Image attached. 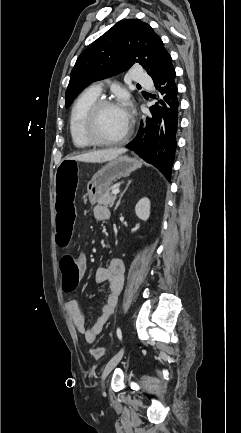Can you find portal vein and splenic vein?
I'll use <instances>...</instances> for the list:
<instances>
[{
    "label": "portal vein and splenic vein",
    "mask_w": 241,
    "mask_h": 433,
    "mask_svg": "<svg viewBox=\"0 0 241 433\" xmlns=\"http://www.w3.org/2000/svg\"><path fill=\"white\" fill-rule=\"evenodd\" d=\"M120 192V190L117 188V189H114L113 191H112V194L113 195H116V194H118Z\"/></svg>",
    "instance_id": "portal-vein-and-splenic-vein-1"
}]
</instances>
